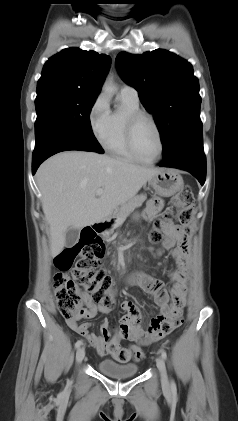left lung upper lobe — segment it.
Wrapping results in <instances>:
<instances>
[{
	"mask_svg": "<svg viewBox=\"0 0 238 421\" xmlns=\"http://www.w3.org/2000/svg\"><path fill=\"white\" fill-rule=\"evenodd\" d=\"M116 66L123 80L139 93L161 134L163 157L180 141L201 131L199 82L192 65L163 49L133 55L121 52Z\"/></svg>",
	"mask_w": 238,
	"mask_h": 421,
	"instance_id": "left-lung-upper-lobe-1",
	"label": "left lung upper lobe"
}]
</instances>
